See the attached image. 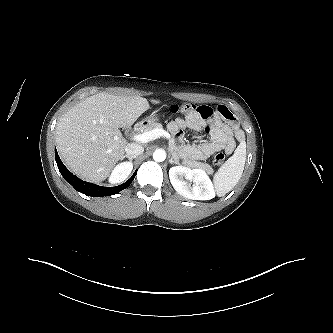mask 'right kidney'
<instances>
[{
    "label": "right kidney",
    "instance_id": "ca27d5eb",
    "mask_svg": "<svg viewBox=\"0 0 333 333\" xmlns=\"http://www.w3.org/2000/svg\"><path fill=\"white\" fill-rule=\"evenodd\" d=\"M133 169V164L131 162H124L113 170L110 175L109 182L110 183H119L125 180L128 175L131 173Z\"/></svg>",
    "mask_w": 333,
    "mask_h": 333
}]
</instances>
